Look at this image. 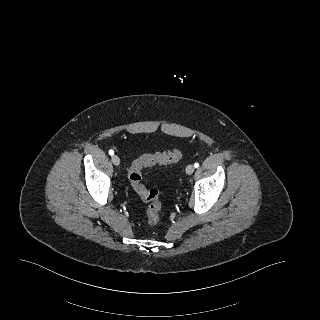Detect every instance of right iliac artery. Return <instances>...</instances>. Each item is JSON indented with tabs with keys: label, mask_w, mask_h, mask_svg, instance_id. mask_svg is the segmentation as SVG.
Segmentation results:
<instances>
[{
	"label": "right iliac artery",
	"mask_w": 320,
	"mask_h": 320,
	"mask_svg": "<svg viewBox=\"0 0 320 320\" xmlns=\"http://www.w3.org/2000/svg\"><path fill=\"white\" fill-rule=\"evenodd\" d=\"M109 154H110V155H113V154H114V151H113V150H110V151H109Z\"/></svg>",
	"instance_id": "right-iliac-artery-1"
}]
</instances>
